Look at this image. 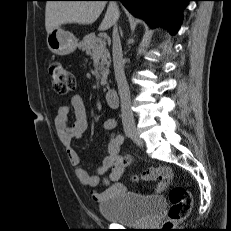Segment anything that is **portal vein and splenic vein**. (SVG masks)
I'll list each match as a JSON object with an SVG mask.
<instances>
[{"label":"portal vein and splenic vein","mask_w":231,"mask_h":231,"mask_svg":"<svg viewBox=\"0 0 231 231\" xmlns=\"http://www.w3.org/2000/svg\"><path fill=\"white\" fill-rule=\"evenodd\" d=\"M105 48V43L104 42H100V45H99V49H104ZM96 57V56H94Z\"/></svg>","instance_id":"18ae733b"}]
</instances>
